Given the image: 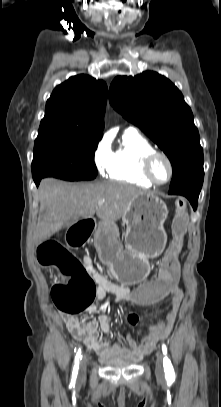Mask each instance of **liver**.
Listing matches in <instances>:
<instances>
[{"label": "liver", "instance_id": "obj_1", "mask_svg": "<svg viewBox=\"0 0 221 407\" xmlns=\"http://www.w3.org/2000/svg\"><path fill=\"white\" fill-rule=\"evenodd\" d=\"M141 194L145 192L123 183L70 184L45 178L39 186L40 213L33 241L41 244L63 225L70 226L80 217L96 214L113 225L123 217L131 200ZM100 200H105L104 204L98 205Z\"/></svg>", "mask_w": 221, "mask_h": 407}]
</instances>
